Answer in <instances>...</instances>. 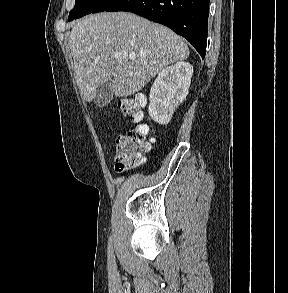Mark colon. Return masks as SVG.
Wrapping results in <instances>:
<instances>
[{"instance_id": "obj_1", "label": "colon", "mask_w": 288, "mask_h": 293, "mask_svg": "<svg viewBox=\"0 0 288 293\" xmlns=\"http://www.w3.org/2000/svg\"><path fill=\"white\" fill-rule=\"evenodd\" d=\"M144 106V97L134 95L123 99L119 108L124 116L139 123L143 117ZM148 134V126L140 123L126 135L118 137L115 150V169L117 172H123L142 164L145 152L154 142V139Z\"/></svg>"}]
</instances>
